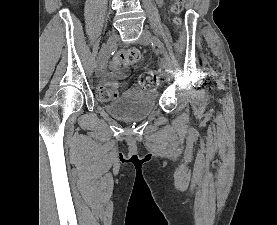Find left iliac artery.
I'll use <instances>...</instances> for the list:
<instances>
[{"label":"left iliac artery","instance_id":"1","mask_svg":"<svg viewBox=\"0 0 277 225\" xmlns=\"http://www.w3.org/2000/svg\"><path fill=\"white\" fill-rule=\"evenodd\" d=\"M152 45L157 47L158 51L163 54V57L160 60L161 67L167 72V73H173V70L170 66V58L169 55L164 47V44L157 38H152Z\"/></svg>","mask_w":277,"mask_h":225}]
</instances>
